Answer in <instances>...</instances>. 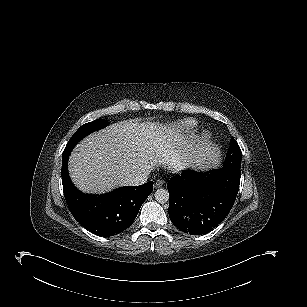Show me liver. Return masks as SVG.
Wrapping results in <instances>:
<instances>
[{
	"label": "liver",
	"instance_id": "1",
	"mask_svg": "<svg viewBox=\"0 0 307 307\" xmlns=\"http://www.w3.org/2000/svg\"><path fill=\"white\" fill-rule=\"evenodd\" d=\"M154 126L132 121L110 125L93 133L76 145L69 157V174L73 183L86 193H104L127 186L129 179L150 171L168 160L170 153L184 149L183 138L165 140ZM200 168L210 167L213 155L208 148L192 152Z\"/></svg>",
	"mask_w": 307,
	"mask_h": 307
}]
</instances>
